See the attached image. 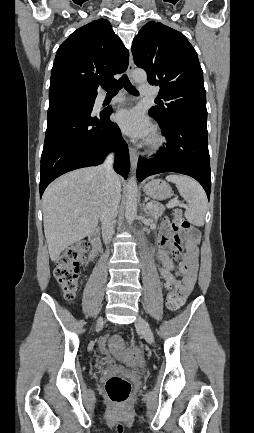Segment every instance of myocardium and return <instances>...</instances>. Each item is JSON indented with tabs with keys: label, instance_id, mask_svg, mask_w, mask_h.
<instances>
[{
	"label": "myocardium",
	"instance_id": "f54148a6",
	"mask_svg": "<svg viewBox=\"0 0 254 433\" xmlns=\"http://www.w3.org/2000/svg\"><path fill=\"white\" fill-rule=\"evenodd\" d=\"M165 138L159 132H155L147 140L146 145L150 150H158L163 146Z\"/></svg>",
	"mask_w": 254,
	"mask_h": 433
}]
</instances>
